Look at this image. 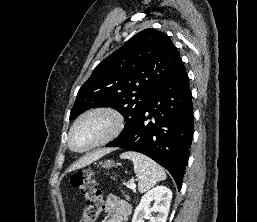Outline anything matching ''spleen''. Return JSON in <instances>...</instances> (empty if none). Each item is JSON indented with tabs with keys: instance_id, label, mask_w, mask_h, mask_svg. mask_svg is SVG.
I'll return each mask as SVG.
<instances>
[{
	"instance_id": "1",
	"label": "spleen",
	"mask_w": 257,
	"mask_h": 222,
	"mask_svg": "<svg viewBox=\"0 0 257 222\" xmlns=\"http://www.w3.org/2000/svg\"><path fill=\"white\" fill-rule=\"evenodd\" d=\"M120 158L132 160L134 171L139 179L138 189L141 193L148 191L157 182L166 179V174L162 167L141 153L127 151L122 153Z\"/></svg>"
}]
</instances>
